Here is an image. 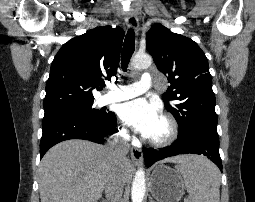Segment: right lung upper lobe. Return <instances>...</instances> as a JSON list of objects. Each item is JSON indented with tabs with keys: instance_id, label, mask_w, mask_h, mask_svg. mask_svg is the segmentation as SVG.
I'll list each match as a JSON object with an SVG mask.
<instances>
[{
	"instance_id": "1",
	"label": "right lung upper lobe",
	"mask_w": 255,
	"mask_h": 202,
	"mask_svg": "<svg viewBox=\"0 0 255 202\" xmlns=\"http://www.w3.org/2000/svg\"><path fill=\"white\" fill-rule=\"evenodd\" d=\"M124 31L91 29L65 43L56 54L46 84L45 114L92 103V90L104 86L117 70Z\"/></svg>"
}]
</instances>
